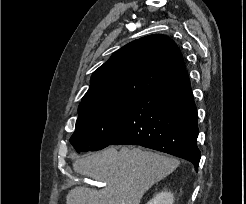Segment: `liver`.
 Wrapping results in <instances>:
<instances>
[{"instance_id":"6515ba94","label":"liver","mask_w":246,"mask_h":204,"mask_svg":"<svg viewBox=\"0 0 246 204\" xmlns=\"http://www.w3.org/2000/svg\"><path fill=\"white\" fill-rule=\"evenodd\" d=\"M179 166L173 157L139 147H109L75 160L80 175L105 182L101 190L78 186L69 191L66 204H140L144 193Z\"/></svg>"}]
</instances>
